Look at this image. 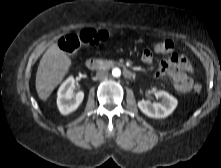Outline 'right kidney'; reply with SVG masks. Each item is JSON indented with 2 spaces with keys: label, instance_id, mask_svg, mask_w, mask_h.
Listing matches in <instances>:
<instances>
[{
  "label": "right kidney",
  "instance_id": "ca27d5eb",
  "mask_svg": "<svg viewBox=\"0 0 221 168\" xmlns=\"http://www.w3.org/2000/svg\"><path fill=\"white\" fill-rule=\"evenodd\" d=\"M75 80L69 77L59 88L57 94V106L62 115L74 112L82 103L84 92L79 91L74 94Z\"/></svg>",
  "mask_w": 221,
  "mask_h": 168
}]
</instances>
